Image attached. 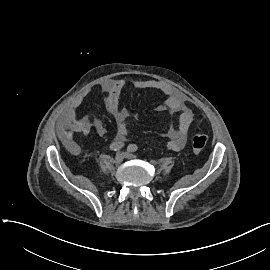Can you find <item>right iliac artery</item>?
I'll use <instances>...</instances> for the list:
<instances>
[{
    "instance_id": "82829eb1",
    "label": "right iliac artery",
    "mask_w": 270,
    "mask_h": 270,
    "mask_svg": "<svg viewBox=\"0 0 270 270\" xmlns=\"http://www.w3.org/2000/svg\"><path fill=\"white\" fill-rule=\"evenodd\" d=\"M123 147H124V143L123 142L116 141V142H113L110 145V150L111 151H118V150L122 149Z\"/></svg>"
}]
</instances>
